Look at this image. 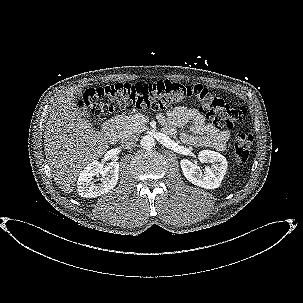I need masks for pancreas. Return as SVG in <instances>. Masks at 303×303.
Wrapping results in <instances>:
<instances>
[{
	"label": "pancreas",
	"mask_w": 303,
	"mask_h": 303,
	"mask_svg": "<svg viewBox=\"0 0 303 303\" xmlns=\"http://www.w3.org/2000/svg\"><path fill=\"white\" fill-rule=\"evenodd\" d=\"M115 128L119 137L132 133H140L146 129L144 122L138 116H118L115 120Z\"/></svg>",
	"instance_id": "1"
}]
</instances>
